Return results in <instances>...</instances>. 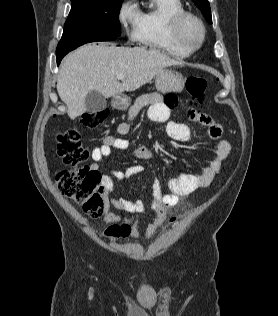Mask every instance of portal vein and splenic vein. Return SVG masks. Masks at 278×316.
I'll list each match as a JSON object with an SVG mask.
<instances>
[{
  "instance_id": "obj_1",
  "label": "portal vein and splenic vein",
  "mask_w": 278,
  "mask_h": 316,
  "mask_svg": "<svg viewBox=\"0 0 278 316\" xmlns=\"http://www.w3.org/2000/svg\"><path fill=\"white\" fill-rule=\"evenodd\" d=\"M117 78H118V79H124V78H125V75H124V74H119V75H117Z\"/></svg>"
}]
</instances>
